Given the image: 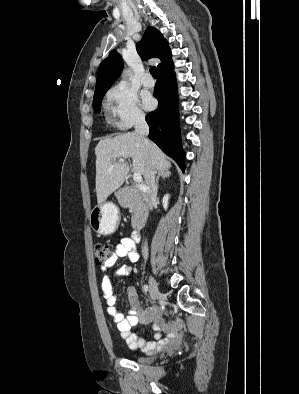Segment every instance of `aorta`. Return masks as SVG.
I'll return each mask as SVG.
<instances>
[{"label": "aorta", "instance_id": "762f6f07", "mask_svg": "<svg viewBox=\"0 0 299 394\" xmlns=\"http://www.w3.org/2000/svg\"><path fill=\"white\" fill-rule=\"evenodd\" d=\"M128 72H129L128 70L125 71L124 76H127V75H128Z\"/></svg>", "mask_w": 299, "mask_h": 394}]
</instances>
